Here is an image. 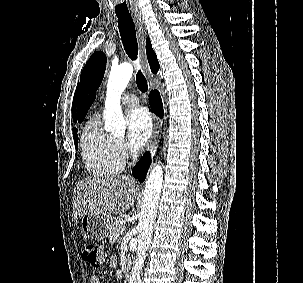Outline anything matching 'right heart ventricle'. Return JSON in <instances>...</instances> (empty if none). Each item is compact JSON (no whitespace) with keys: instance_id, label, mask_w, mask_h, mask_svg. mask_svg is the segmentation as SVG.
Wrapping results in <instances>:
<instances>
[{"instance_id":"e07e8e85","label":"right heart ventricle","mask_w":303,"mask_h":283,"mask_svg":"<svg viewBox=\"0 0 303 283\" xmlns=\"http://www.w3.org/2000/svg\"><path fill=\"white\" fill-rule=\"evenodd\" d=\"M81 152L87 171L94 177H114L124 167L115 138L102 129L98 114H93L82 129Z\"/></svg>"}]
</instances>
